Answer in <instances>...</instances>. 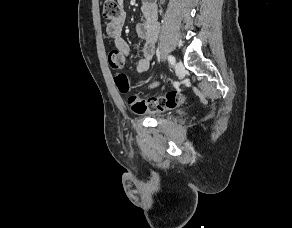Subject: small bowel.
I'll return each mask as SVG.
<instances>
[{"label":"small bowel","mask_w":292,"mask_h":228,"mask_svg":"<svg viewBox=\"0 0 292 228\" xmlns=\"http://www.w3.org/2000/svg\"><path fill=\"white\" fill-rule=\"evenodd\" d=\"M124 0H118L122 5ZM142 21L136 25V35L143 41L142 55L136 64V72L144 73L148 71L151 60L155 52V43L159 34V23L157 20V9L153 2L144 1L141 5ZM126 14L121 10L120 18L109 23L106 27L107 35L113 39L115 49L118 54L123 58L131 53V48L128 42L122 38L121 31L124 25ZM156 84H153L150 88H153Z\"/></svg>","instance_id":"small-bowel-1"}]
</instances>
